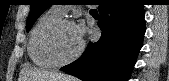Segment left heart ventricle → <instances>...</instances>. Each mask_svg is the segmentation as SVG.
<instances>
[{"instance_id":"b2bd125f","label":"left heart ventricle","mask_w":169,"mask_h":81,"mask_svg":"<svg viewBox=\"0 0 169 81\" xmlns=\"http://www.w3.org/2000/svg\"><path fill=\"white\" fill-rule=\"evenodd\" d=\"M81 41L77 36L75 26H64L57 34L55 46L58 56L62 59L71 57L80 47Z\"/></svg>"}]
</instances>
